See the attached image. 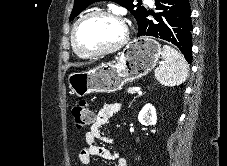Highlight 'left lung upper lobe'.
Masks as SVG:
<instances>
[{"mask_svg": "<svg viewBox=\"0 0 227 166\" xmlns=\"http://www.w3.org/2000/svg\"><path fill=\"white\" fill-rule=\"evenodd\" d=\"M97 1H105V0H75L73 10L70 15L69 21H72L76 16H78L85 8H87L90 4ZM114 1L126 9H128L133 16L136 18L138 27L143 21L147 10L143 6H137L133 4V0H111Z\"/></svg>", "mask_w": 227, "mask_h": 166, "instance_id": "left-lung-upper-lobe-1", "label": "left lung upper lobe"}]
</instances>
